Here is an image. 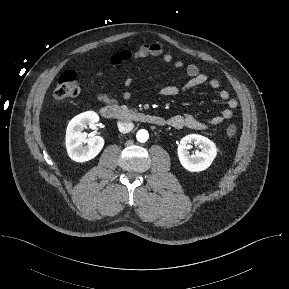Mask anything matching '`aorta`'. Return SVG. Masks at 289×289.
Masks as SVG:
<instances>
[{
    "label": "aorta",
    "instance_id": "1",
    "mask_svg": "<svg viewBox=\"0 0 289 289\" xmlns=\"http://www.w3.org/2000/svg\"><path fill=\"white\" fill-rule=\"evenodd\" d=\"M136 138L139 142L143 143V142H146L148 140L149 134L146 130L141 129L137 132Z\"/></svg>",
    "mask_w": 289,
    "mask_h": 289
}]
</instances>
